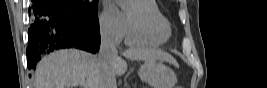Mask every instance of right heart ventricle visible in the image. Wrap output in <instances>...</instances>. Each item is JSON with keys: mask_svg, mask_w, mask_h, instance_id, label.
Wrapping results in <instances>:
<instances>
[{"mask_svg": "<svg viewBox=\"0 0 267 88\" xmlns=\"http://www.w3.org/2000/svg\"><path fill=\"white\" fill-rule=\"evenodd\" d=\"M133 4L141 6L142 9L155 17L161 28V34L156 36L141 35L132 31L126 23L125 36L127 44L131 46H160L164 44L169 38L170 26L157 2L155 0H136L133 1Z\"/></svg>", "mask_w": 267, "mask_h": 88, "instance_id": "e07e8e85", "label": "right heart ventricle"}]
</instances>
